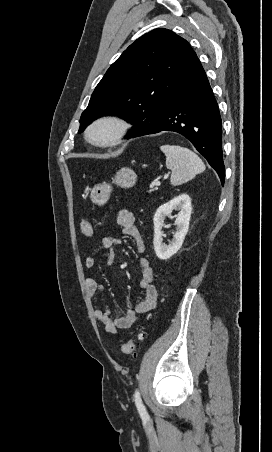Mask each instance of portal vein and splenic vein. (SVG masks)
I'll list each match as a JSON object with an SVG mask.
<instances>
[{
    "label": "portal vein and splenic vein",
    "mask_w": 272,
    "mask_h": 452,
    "mask_svg": "<svg viewBox=\"0 0 272 452\" xmlns=\"http://www.w3.org/2000/svg\"><path fill=\"white\" fill-rule=\"evenodd\" d=\"M160 185V181L155 182V187L157 188Z\"/></svg>",
    "instance_id": "1"
}]
</instances>
